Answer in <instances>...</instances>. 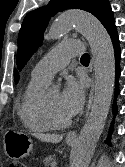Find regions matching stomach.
Returning <instances> with one entry per match:
<instances>
[{"label": "stomach", "instance_id": "1", "mask_svg": "<svg viewBox=\"0 0 125 167\" xmlns=\"http://www.w3.org/2000/svg\"><path fill=\"white\" fill-rule=\"evenodd\" d=\"M69 145L72 143L68 142ZM33 148L32 139L22 132L10 131L4 140V150L13 159L28 156Z\"/></svg>", "mask_w": 125, "mask_h": 167}]
</instances>
